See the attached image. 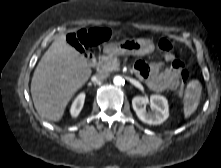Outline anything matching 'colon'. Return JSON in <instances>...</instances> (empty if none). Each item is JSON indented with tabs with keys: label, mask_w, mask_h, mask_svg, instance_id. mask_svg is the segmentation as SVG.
<instances>
[{
	"label": "colon",
	"mask_w": 221,
	"mask_h": 168,
	"mask_svg": "<svg viewBox=\"0 0 221 168\" xmlns=\"http://www.w3.org/2000/svg\"><path fill=\"white\" fill-rule=\"evenodd\" d=\"M110 32L106 28H94V29H84L69 35V43L80 51L87 50L98 43L105 41L109 38ZM158 47L164 52H169L172 49V44L167 39H160L158 42ZM191 73L188 70H184L180 79V88L178 95L182 96L185 89V83L191 79Z\"/></svg>",
	"instance_id": "obj_1"
}]
</instances>
